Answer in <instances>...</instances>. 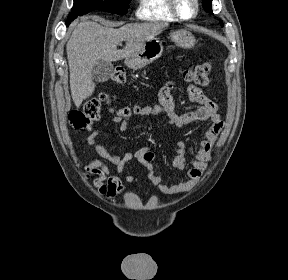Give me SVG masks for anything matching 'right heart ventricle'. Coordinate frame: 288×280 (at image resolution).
<instances>
[{
	"label": "right heart ventricle",
	"instance_id": "e07e8e85",
	"mask_svg": "<svg viewBox=\"0 0 288 280\" xmlns=\"http://www.w3.org/2000/svg\"><path fill=\"white\" fill-rule=\"evenodd\" d=\"M136 16L141 20L154 22L177 20L170 11L168 0H139Z\"/></svg>",
	"mask_w": 288,
	"mask_h": 280
}]
</instances>
